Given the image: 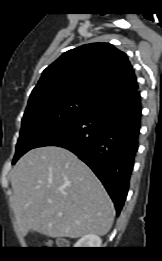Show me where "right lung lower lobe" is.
<instances>
[{"mask_svg":"<svg viewBox=\"0 0 162 261\" xmlns=\"http://www.w3.org/2000/svg\"><path fill=\"white\" fill-rule=\"evenodd\" d=\"M140 123L141 97L136 89L100 102L48 133L35 148L59 146L76 154L101 180L118 215L129 189Z\"/></svg>","mask_w":162,"mask_h":261,"instance_id":"98d812e1","label":"right lung lower lobe"}]
</instances>
